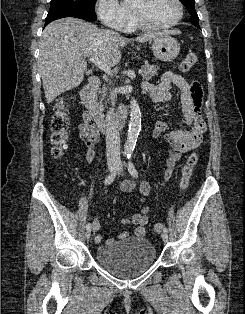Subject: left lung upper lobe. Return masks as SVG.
I'll return each instance as SVG.
<instances>
[{
	"label": "left lung upper lobe",
	"mask_w": 245,
	"mask_h": 314,
	"mask_svg": "<svg viewBox=\"0 0 245 314\" xmlns=\"http://www.w3.org/2000/svg\"><path fill=\"white\" fill-rule=\"evenodd\" d=\"M191 15L190 22L200 28L199 18L195 10V0H180Z\"/></svg>",
	"instance_id": "1"
}]
</instances>
